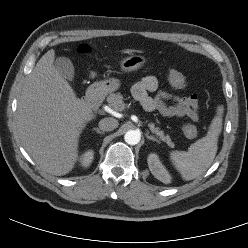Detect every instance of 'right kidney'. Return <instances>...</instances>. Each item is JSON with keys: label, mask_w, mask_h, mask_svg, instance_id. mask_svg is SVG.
<instances>
[{"label": "right kidney", "mask_w": 248, "mask_h": 248, "mask_svg": "<svg viewBox=\"0 0 248 248\" xmlns=\"http://www.w3.org/2000/svg\"><path fill=\"white\" fill-rule=\"evenodd\" d=\"M93 159H94V151L93 150H87L79 158L80 165L83 168H87L91 165Z\"/></svg>", "instance_id": "1"}]
</instances>
